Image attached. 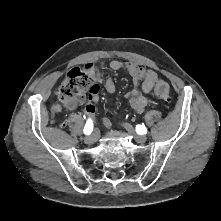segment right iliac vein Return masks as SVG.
<instances>
[{
	"label": "right iliac vein",
	"mask_w": 221,
	"mask_h": 221,
	"mask_svg": "<svg viewBox=\"0 0 221 221\" xmlns=\"http://www.w3.org/2000/svg\"><path fill=\"white\" fill-rule=\"evenodd\" d=\"M97 140V134L96 133H93L92 135L90 136H86L85 139H84V142L86 144H93L95 143Z\"/></svg>",
	"instance_id": "obj_1"
}]
</instances>
